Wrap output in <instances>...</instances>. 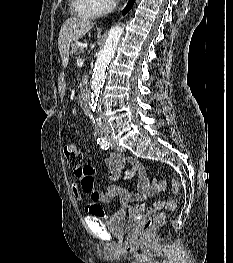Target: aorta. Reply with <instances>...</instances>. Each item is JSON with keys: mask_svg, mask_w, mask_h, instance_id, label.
I'll list each match as a JSON object with an SVG mask.
<instances>
[{"mask_svg": "<svg viewBox=\"0 0 233 263\" xmlns=\"http://www.w3.org/2000/svg\"><path fill=\"white\" fill-rule=\"evenodd\" d=\"M123 34V27L116 25L109 30L105 45L99 51L93 69L89 90L85 93L83 104L92 116L96 118L101 110L102 87L107 76V67L114 57L120 37Z\"/></svg>", "mask_w": 233, "mask_h": 263, "instance_id": "762f6f07", "label": "aorta"}]
</instances>
